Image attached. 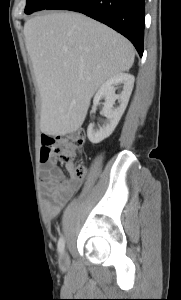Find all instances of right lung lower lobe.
Returning a JSON list of instances; mask_svg holds the SVG:
<instances>
[{
  "mask_svg": "<svg viewBox=\"0 0 181 300\" xmlns=\"http://www.w3.org/2000/svg\"><path fill=\"white\" fill-rule=\"evenodd\" d=\"M45 9L81 12L127 37L143 55L145 0H55Z\"/></svg>",
  "mask_w": 181,
  "mask_h": 300,
  "instance_id": "obj_1",
  "label": "right lung lower lobe"
}]
</instances>
